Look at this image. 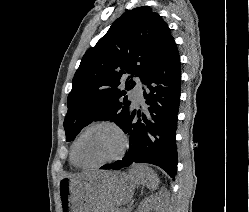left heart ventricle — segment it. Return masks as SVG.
Returning <instances> with one entry per match:
<instances>
[{
	"mask_svg": "<svg viewBox=\"0 0 249 212\" xmlns=\"http://www.w3.org/2000/svg\"><path fill=\"white\" fill-rule=\"evenodd\" d=\"M118 135L109 128H99L85 134L78 143L77 157L86 165L97 164L117 154Z\"/></svg>",
	"mask_w": 249,
	"mask_h": 212,
	"instance_id": "b2bd125f",
	"label": "left heart ventricle"
}]
</instances>
